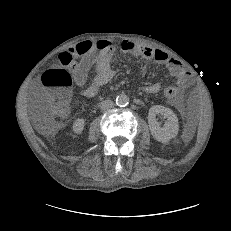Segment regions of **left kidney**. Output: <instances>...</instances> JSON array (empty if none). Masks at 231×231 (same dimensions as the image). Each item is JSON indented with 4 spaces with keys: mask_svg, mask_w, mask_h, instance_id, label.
Masks as SVG:
<instances>
[{
    "mask_svg": "<svg viewBox=\"0 0 231 231\" xmlns=\"http://www.w3.org/2000/svg\"><path fill=\"white\" fill-rule=\"evenodd\" d=\"M161 114L167 121L161 127L157 122L156 115ZM148 124L152 136L159 142L165 143L177 136L179 131L178 118L176 114L167 107L161 105L152 106L148 113Z\"/></svg>",
    "mask_w": 231,
    "mask_h": 231,
    "instance_id": "left-kidney-1",
    "label": "left kidney"
}]
</instances>
